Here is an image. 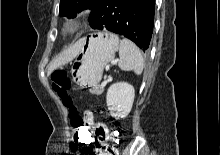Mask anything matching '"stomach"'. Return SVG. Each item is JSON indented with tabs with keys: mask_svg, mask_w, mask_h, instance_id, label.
<instances>
[{
	"mask_svg": "<svg viewBox=\"0 0 220 155\" xmlns=\"http://www.w3.org/2000/svg\"><path fill=\"white\" fill-rule=\"evenodd\" d=\"M81 50L71 67L73 80L80 88L95 89L101 81L104 67L119 49V38L110 32L85 37Z\"/></svg>",
	"mask_w": 220,
	"mask_h": 155,
	"instance_id": "0dacf381",
	"label": "stomach"
}]
</instances>
